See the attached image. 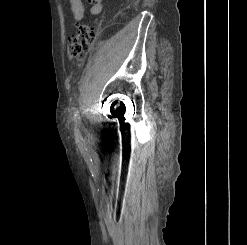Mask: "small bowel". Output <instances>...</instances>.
<instances>
[{"instance_id": "obj_1", "label": "small bowel", "mask_w": 247, "mask_h": 245, "mask_svg": "<svg viewBox=\"0 0 247 245\" xmlns=\"http://www.w3.org/2000/svg\"><path fill=\"white\" fill-rule=\"evenodd\" d=\"M71 12L75 22H80L84 18L85 10L83 0H69ZM90 4V14L99 15L102 11V0H87Z\"/></svg>"}]
</instances>
